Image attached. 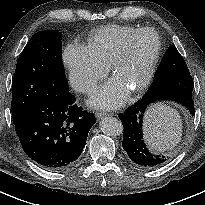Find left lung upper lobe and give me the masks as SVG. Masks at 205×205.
<instances>
[{"label": "left lung upper lobe", "mask_w": 205, "mask_h": 205, "mask_svg": "<svg viewBox=\"0 0 205 205\" xmlns=\"http://www.w3.org/2000/svg\"><path fill=\"white\" fill-rule=\"evenodd\" d=\"M188 67L174 45L170 46L155 74L154 82L179 74H189Z\"/></svg>", "instance_id": "obj_1"}]
</instances>
